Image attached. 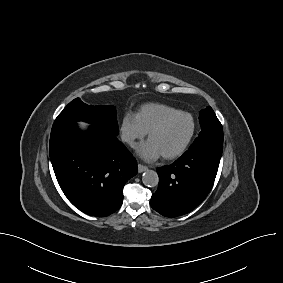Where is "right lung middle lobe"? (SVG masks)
Returning <instances> with one entry per match:
<instances>
[{"mask_svg":"<svg viewBox=\"0 0 283 283\" xmlns=\"http://www.w3.org/2000/svg\"><path fill=\"white\" fill-rule=\"evenodd\" d=\"M76 121H86L110 135L117 136L119 133L114 106H89L76 98L63 109L54 123Z\"/></svg>","mask_w":283,"mask_h":283,"instance_id":"right-lung-middle-lobe-1","label":"right lung middle lobe"}]
</instances>
